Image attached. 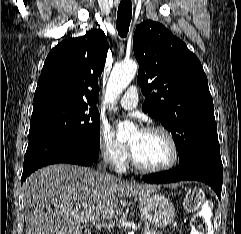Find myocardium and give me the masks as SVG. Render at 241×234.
<instances>
[{
	"instance_id": "f54148a6",
	"label": "myocardium",
	"mask_w": 241,
	"mask_h": 234,
	"mask_svg": "<svg viewBox=\"0 0 241 234\" xmlns=\"http://www.w3.org/2000/svg\"><path fill=\"white\" fill-rule=\"evenodd\" d=\"M142 131L149 132V133H159L162 136H164L171 147L172 157H171V160L163 166L148 167V166L141 164L137 160V158L134 154L133 148L129 145V160H130L131 165L136 170L143 172V173H147V174H158V173H163V172L171 170L177 164L178 159H179V148H178V145H177L174 137L171 135V133L169 131H167L165 128H163L161 126H149V127L144 128Z\"/></svg>"
}]
</instances>
